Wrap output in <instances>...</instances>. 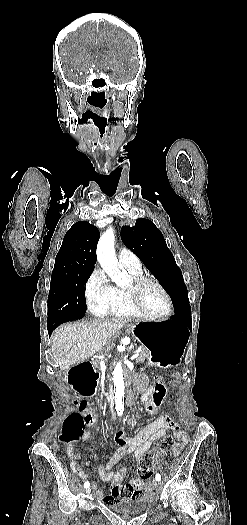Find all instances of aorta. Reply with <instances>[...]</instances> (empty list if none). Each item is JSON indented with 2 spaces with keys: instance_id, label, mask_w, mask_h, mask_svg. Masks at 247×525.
<instances>
[{
  "instance_id": "1",
  "label": "aorta",
  "mask_w": 247,
  "mask_h": 525,
  "mask_svg": "<svg viewBox=\"0 0 247 525\" xmlns=\"http://www.w3.org/2000/svg\"><path fill=\"white\" fill-rule=\"evenodd\" d=\"M114 230L107 229L100 237L97 244V259L107 273L110 279L118 286H125L128 282L126 273L119 267L118 260L115 256L114 250ZM112 380L115 388V409L118 416H121L124 411V378L122 363L117 362L112 373Z\"/></svg>"
}]
</instances>
